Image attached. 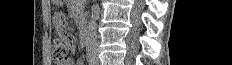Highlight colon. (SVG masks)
Masks as SVG:
<instances>
[{"instance_id":"5ec220e1","label":"colon","mask_w":232,"mask_h":65,"mask_svg":"<svg viewBox=\"0 0 232 65\" xmlns=\"http://www.w3.org/2000/svg\"><path fill=\"white\" fill-rule=\"evenodd\" d=\"M53 60L58 65L70 61L74 53V40L72 37H58L52 44Z\"/></svg>"}]
</instances>
